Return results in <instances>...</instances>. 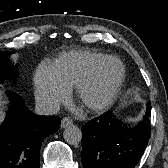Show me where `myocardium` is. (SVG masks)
I'll return each instance as SVG.
<instances>
[{
    "instance_id": "obj_1",
    "label": "myocardium",
    "mask_w": 168,
    "mask_h": 168,
    "mask_svg": "<svg viewBox=\"0 0 168 168\" xmlns=\"http://www.w3.org/2000/svg\"><path fill=\"white\" fill-rule=\"evenodd\" d=\"M117 66L118 74L104 95L97 101L91 102L86 98L87 91L97 82L101 71L109 64ZM125 79V67L121 60L113 56H107L98 62L76 86L77 101L88 111L98 113L109 108L116 99Z\"/></svg>"
}]
</instances>
